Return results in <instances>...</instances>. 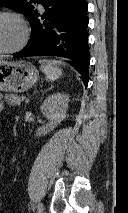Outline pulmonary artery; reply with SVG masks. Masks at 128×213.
I'll list each match as a JSON object with an SVG mask.
<instances>
[{"label": "pulmonary artery", "instance_id": "obj_1", "mask_svg": "<svg viewBox=\"0 0 128 213\" xmlns=\"http://www.w3.org/2000/svg\"><path fill=\"white\" fill-rule=\"evenodd\" d=\"M39 8H42V5L39 4Z\"/></svg>", "mask_w": 128, "mask_h": 213}]
</instances>
